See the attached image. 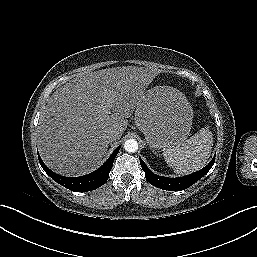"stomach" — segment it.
<instances>
[{"mask_svg":"<svg viewBox=\"0 0 257 257\" xmlns=\"http://www.w3.org/2000/svg\"><path fill=\"white\" fill-rule=\"evenodd\" d=\"M192 120L193 110L185 95L168 86L147 90L135 110L137 128L156 150H166L184 142Z\"/></svg>","mask_w":257,"mask_h":257,"instance_id":"obj_1","label":"stomach"}]
</instances>
